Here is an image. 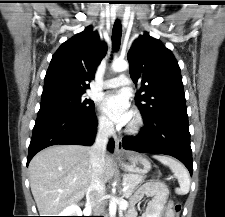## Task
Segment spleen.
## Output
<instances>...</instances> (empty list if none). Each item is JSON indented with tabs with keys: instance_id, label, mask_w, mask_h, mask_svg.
<instances>
[{
	"instance_id": "1",
	"label": "spleen",
	"mask_w": 225,
	"mask_h": 217,
	"mask_svg": "<svg viewBox=\"0 0 225 217\" xmlns=\"http://www.w3.org/2000/svg\"><path fill=\"white\" fill-rule=\"evenodd\" d=\"M153 158L168 166L177 177L180 187L176 189V193L179 195L187 194L190 189V177L187 169L180 162L169 156L154 155Z\"/></svg>"
}]
</instances>
